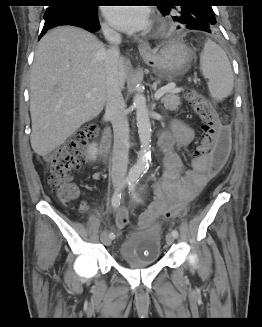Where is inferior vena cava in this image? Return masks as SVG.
I'll list each match as a JSON object with an SVG mask.
<instances>
[{"instance_id":"obj_1","label":"inferior vena cava","mask_w":262,"mask_h":327,"mask_svg":"<svg viewBox=\"0 0 262 327\" xmlns=\"http://www.w3.org/2000/svg\"><path fill=\"white\" fill-rule=\"evenodd\" d=\"M102 30L110 44L106 52V115L111 120L114 132L111 178L113 182H120L127 173L129 151V123L118 77L121 35L108 26H103Z\"/></svg>"}]
</instances>
